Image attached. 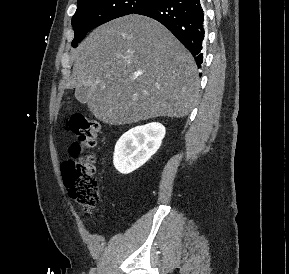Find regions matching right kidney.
Listing matches in <instances>:
<instances>
[{"mask_svg": "<svg viewBox=\"0 0 289 274\" xmlns=\"http://www.w3.org/2000/svg\"><path fill=\"white\" fill-rule=\"evenodd\" d=\"M165 127L158 122L136 126L117 141L113 164L122 174H128L144 165L160 148Z\"/></svg>", "mask_w": 289, "mask_h": 274, "instance_id": "right-kidney-1", "label": "right kidney"}]
</instances>
